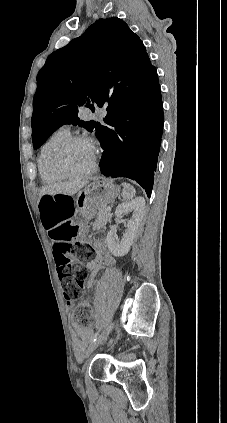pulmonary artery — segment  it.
I'll use <instances>...</instances> for the list:
<instances>
[{"instance_id": "pulmonary-artery-1", "label": "pulmonary artery", "mask_w": 227, "mask_h": 423, "mask_svg": "<svg viewBox=\"0 0 227 423\" xmlns=\"http://www.w3.org/2000/svg\"><path fill=\"white\" fill-rule=\"evenodd\" d=\"M79 116L81 120L97 119V117L93 115L92 111H81ZM64 129L68 130L66 127Z\"/></svg>"}]
</instances>
